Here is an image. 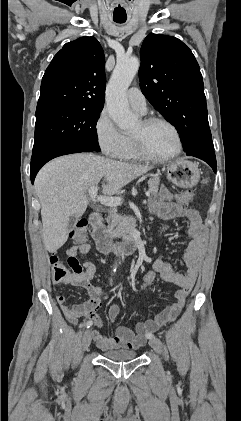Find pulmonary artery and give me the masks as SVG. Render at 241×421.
I'll use <instances>...</instances> for the list:
<instances>
[{
	"label": "pulmonary artery",
	"instance_id": "obj_1",
	"mask_svg": "<svg viewBox=\"0 0 241 421\" xmlns=\"http://www.w3.org/2000/svg\"><path fill=\"white\" fill-rule=\"evenodd\" d=\"M128 102L133 109L140 113L147 111L146 99L143 93L136 87H132L127 92Z\"/></svg>",
	"mask_w": 241,
	"mask_h": 421
}]
</instances>
